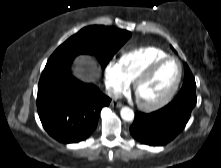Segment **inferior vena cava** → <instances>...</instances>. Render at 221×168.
<instances>
[{
    "instance_id": "inferior-vena-cava-1",
    "label": "inferior vena cava",
    "mask_w": 221,
    "mask_h": 168,
    "mask_svg": "<svg viewBox=\"0 0 221 168\" xmlns=\"http://www.w3.org/2000/svg\"><path fill=\"white\" fill-rule=\"evenodd\" d=\"M106 94L113 99H118L121 96L118 91L111 87L106 88Z\"/></svg>"
}]
</instances>
